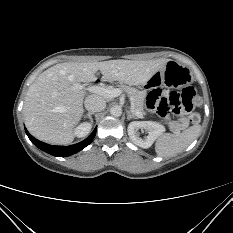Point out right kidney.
Wrapping results in <instances>:
<instances>
[{
    "label": "right kidney",
    "mask_w": 233,
    "mask_h": 233,
    "mask_svg": "<svg viewBox=\"0 0 233 233\" xmlns=\"http://www.w3.org/2000/svg\"><path fill=\"white\" fill-rule=\"evenodd\" d=\"M91 127H92V122L91 123H87V122L81 123L75 129L74 134H75V136H77L79 138L84 137L89 133V131L91 130Z\"/></svg>",
    "instance_id": "right-kidney-1"
}]
</instances>
